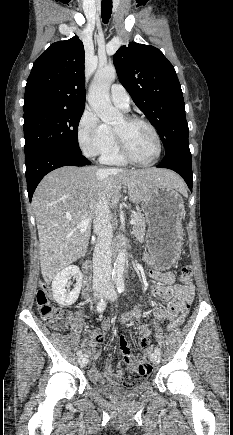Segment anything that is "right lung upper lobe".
Returning a JSON list of instances; mask_svg holds the SVG:
<instances>
[{"mask_svg":"<svg viewBox=\"0 0 233 435\" xmlns=\"http://www.w3.org/2000/svg\"><path fill=\"white\" fill-rule=\"evenodd\" d=\"M83 43L55 42L34 62L27 79L24 116L46 110H84Z\"/></svg>","mask_w":233,"mask_h":435,"instance_id":"obj_1","label":"right lung upper lobe"}]
</instances>
